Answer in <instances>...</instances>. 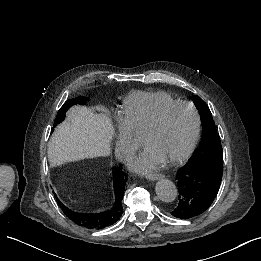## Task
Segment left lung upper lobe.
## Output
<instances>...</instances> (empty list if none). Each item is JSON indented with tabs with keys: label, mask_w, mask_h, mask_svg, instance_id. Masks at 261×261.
Segmentation results:
<instances>
[{
	"label": "left lung upper lobe",
	"mask_w": 261,
	"mask_h": 261,
	"mask_svg": "<svg viewBox=\"0 0 261 261\" xmlns=\"http://www.w3.org/2000/svg\"><path fill=\"white\" fill-rule=\"evenodd\" d=\"M192 99L200 113L202 122V139L199 147L195 150L190 160H201L209 157L223 161V150L220 137L217 134L209 107L198 96H192Z\"/></svg>",
	"instance_id": "5c2ea615"
}]
</instances>
